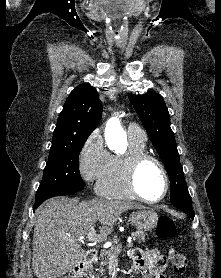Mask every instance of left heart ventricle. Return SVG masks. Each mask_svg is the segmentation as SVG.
Returning a JSON list of instances; mask_svg holds the SVG:
<instances>
[{
  "mask_svg": "<svg viewBox=\"0 0 221 278\" xmlns=\"http://www.w3.org/2000/svg\"><path fill=\"white\" fill-rule=\"evenodd\" d=\"M136 181L140 192L148 199H157L164 191V177L153 162H145L139 168Z\"/></svg>",
  "mask_w": 221,
  "mask_h": 278,
  "instance_id": "1",
  "label": "left heart ventricle"
}]
</instances>
